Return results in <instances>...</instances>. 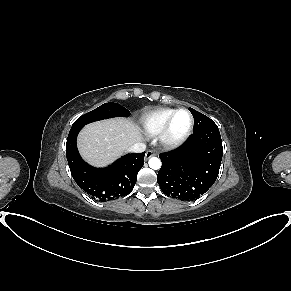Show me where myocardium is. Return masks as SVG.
<instances>
[{
    "label": "myocardium",
    "instance_id": "f54148a6",
    "mask_svg": "<svg viewBox=\"0 0 291 291\" xmlns=\"http://www.w3.org/2000/svg\"><path fill=\"white\" fill-rule=\"evenodd\" d=\"M180 112H186L189 115L190 122L185 131H183L179 135H174L172 132L173 120L175 116L179 114ZM193 126H194V117L191 111L186 108L176 109L172 113V115L169 117L167 123L165 124L164 129L161 132V136H160L161 143L167 148H176L182 145L190 136L193 130Z\"/></svg>",
    "mask_w": 291,
    "mask_h": 291
}]
</instances>
